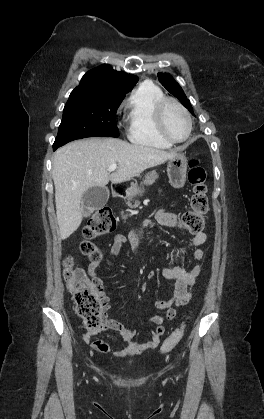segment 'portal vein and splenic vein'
Listing matches in <instances>:
<instances>
[{
    "label": "portal vein and splenic vein",
    "instance_id": "1",
    "mask_svg": "<svg viewBox=\"0 0 264 419\" xmlns=\"http://www.w3.org/2000/svg\"><path fill=\"white\" fill-rule=\"evenodd\" d=\"M116 168H117V164H116V163H113V164H111V165L109 166L108 171H109V172L115 171V170H116Z\"/></svg>",
    "mask_w": 264,
    "mask_h": 419
}]
</instances>
